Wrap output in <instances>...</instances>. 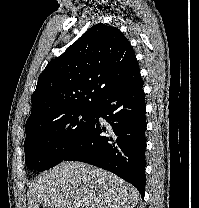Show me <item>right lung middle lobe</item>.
<instances>
[{"mask_svg": "<svg viewBox=\"0 0 199 208\" xmlns=\"http://www.w3.org/2000/svg\"><path fill=\"white\" fill-rule=\"evenodd\" d=\"M94 107L73 110L26 134L25 164L29 169L47 170L64 160L85 136L94 120Z\"/></svg>", "mask_w": 199, "mask_h": 208, "instance_id": "dd1d6c3e", "label": "right lung middle lobe"}]
</instances>
